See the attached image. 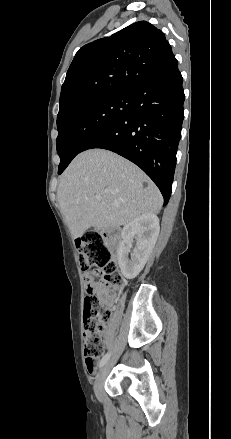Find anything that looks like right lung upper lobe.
<instances>
[{
	"instance_id": "obj_1",
	"label": "right lung upper lobe",
	"mask_w": 231,
	"mask_h": 439,
	"mask_svg": "<svg viewBox=\"0 0 231 439\" xmlns=\"http://www.w3.org/2000/svg\"><path fill=\"white\" fill-rule=\"evenodd\" d=\"M177 62L164 33L139 21L78 50L61 88L62 113L86 99L133 94Z\"/></svg>"
}]
</instances>
